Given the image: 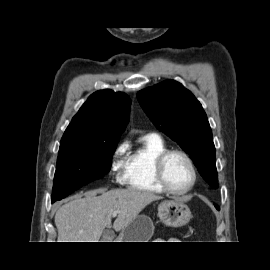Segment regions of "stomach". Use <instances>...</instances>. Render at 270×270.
Wrapping results in <instances>:
<instances>
[{"label":"stomach","instance_id":"stomach-1","mask_svg":"<svg viewBox=\"0 0 270 270\" xmlns=\"http://www.w3.org/2000/svg\"><path fill=\"white\" fill-rule=\"evenodd\" d=\"M160 220L171 227L186 225L191 219V211L180 200H168L160 203L158 207ZM154 225L146 215H138L119 234V242H148L152 237Z\"/></svg>","mask_w":270,"mask_h":270}]
</instances>
